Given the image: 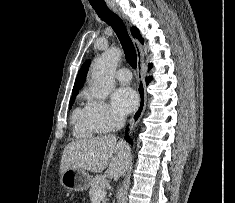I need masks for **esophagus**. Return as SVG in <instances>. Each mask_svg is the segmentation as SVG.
Returning <instances> with one entry per match:
<instances>
[{
  "instance_id": "1",
  "label": "esophagus",
  "mask_w": 235,
  "mask_h": 203,
  "mask_svg": "<svg viewBox=\"0 0 235 203\" xmlns=\"http://www.w3.org/2000/svg\"><path fill=\"white\" fill-rule=\"evenodd\" d=\"M109 7L114 11L117 12L116 7L113 4H109ZM133 43L135 46L136 54H137V79H138V85H137V92H138V106L133 113L131 120H130V128L131 130H134L137 124L139 123L143 112L145 110L146 106V92H145V84H144V74H143V50L140 45V43L133 39Z\"/></svg>"
}]
</instances>
